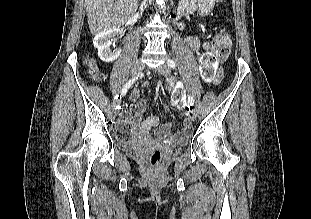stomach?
Here are the masks:
<instances>
[{
    "instance_id": "1",
    "label": "stomach",
    "mask_w": 311,
    "mask_h": 219,
    "mask_svg": "<svg viewBox=\"0 0 311 219\" xmlns=\"http://www.w3.org/2000/svg\"><path fill=\"white\" fill-rule=\"evenodd\" d=\"M215 0H198V5L202 13L209 12L214 6Z\"/></svg>"
}]
</instances>
